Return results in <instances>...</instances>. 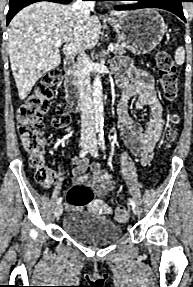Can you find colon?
I'll use <instances>...</instances> for the list:
<instances>
[{"label": "colon", "mask_w": 193, "mask_h": 287, "mask_svg": "<svg viewBox=\"0 0 193 287\" xmlns=\"http://www.w3.org/2000/svg\"><path fill=\"white\" fill-rule=\"evenodd\" d=\"M156 68L159 82L165 98L175 101L178 97V79L176 66L171 55L161 51L156 57ZM59 77V71L52 69L36 84L33 92L19 107L17 113L18 131L22 145L27 153L28 161L34 170L35 181L43 188H49L54 181V174L46 163V141L43 135L42 117L50 108L53 97V85ZM57 117L53 119L56 127H62L70 122L68 108L60 102L55 108ZM171 128L167 133L169 142L176 138V125L179 122L177 114L171 116ZM94 199L92 188L86 185H74L67 193V202L72 207H81L91 203ZM114 216L119 221L128 219L129 213L126 207L118 206L114 209Z\"/></svg>", "instance_id": "colon-1"}]
</instances>
